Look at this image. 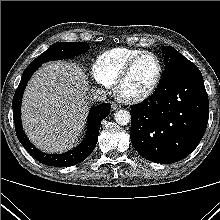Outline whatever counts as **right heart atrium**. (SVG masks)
<instances>
[{"instance_id": "d8ad5b80", "label": "right heart atrium", "mask_w": 220, "mask_h": 220, "mask_svg": "<svg viewBox=\"0 0 220 220\" xmlns=\"http://www.w3.org/2000/svg\"><path fill=\"white\" fill-rule=\"evenodd\" d=\"M93 76H94V78H95V80L99 83V84H101V85H103V86H109V85H107L104 81H102L98 76H96V74H95V72H94V67H93Z\"/></svg>"}]
</instances>
